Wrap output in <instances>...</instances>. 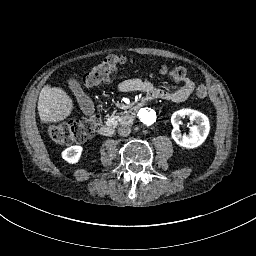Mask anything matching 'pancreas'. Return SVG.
<instances>
[{"mask_svg":"<svg viewBox=\"0 0 256 256\" xmlns=\"http://www.w3.org/2000/svg\"><path fill=\"white\" fill-rule=\"evenodd\" d=\"M131 118H134L130 115L129 111L121 112V113H113L109 116V120L107 121L108 125L116 127L118 124H130L129 121Z\"/></svg>","mask_w":256,"mask_h":256,"instance_id":"1","label":"pancreas"}]
</instances>
